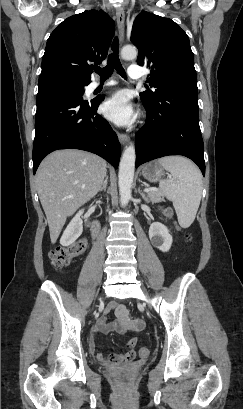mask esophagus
Here are the masks:
<instances>
[{"mask_svg": "<svg viewBox=\"0 0 243 409\" xmlns=\"http://www.w3.org/2000/svg\"><path fill=\"white\" fill-rule=\"evenodd\" d=\"M116 19L119 29V40L122 43L125 37V13L121 6L116 10ZM118 139L122 145H125L129 141L127 134L118 133Z\"/></svg>", "mask_w": 243, "mask_h": 409, "instance_id": "esophagus-1", "label": "esophagus"}]
</instances>
